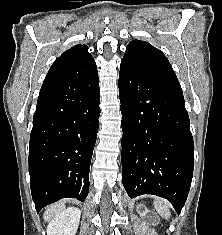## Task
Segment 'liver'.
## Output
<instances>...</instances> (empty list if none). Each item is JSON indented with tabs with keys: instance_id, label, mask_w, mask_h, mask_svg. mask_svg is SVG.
<instances>
[{
	"instance_id": "liver-1",
	"label": "liver",
	"mask_w": 222,
	"mask_h": 235,
	"mask_svg": "<svg viewBox=\"0 0 222 235\" xmlns=\"http://www.w3.org/2000/svg\"><path fill=\"white\" fill-rule=\"evenodd\" d=\"M64 209H65V205L63 204V202H59L57 204L51 205L44 212V215H43L44 220L45 221L52 220L56 215L63 212Z\"/></svg>"
}]
</instances>
